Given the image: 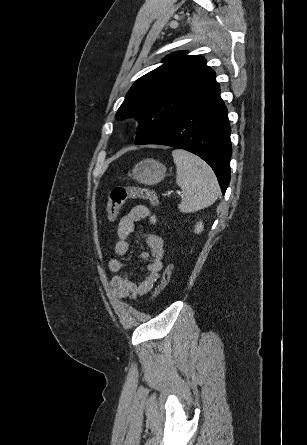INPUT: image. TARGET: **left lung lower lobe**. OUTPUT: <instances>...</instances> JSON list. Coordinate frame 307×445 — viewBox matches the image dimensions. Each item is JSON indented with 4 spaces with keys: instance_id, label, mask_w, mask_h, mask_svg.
Wrapping results in <instances>:
<instances>
[{
    "instance_id": "left-lung-lower-lobe-1",
    "label": "left lung lower lobe",
    "mask_w": 307,
    "mask_h": 445,
    "mask_svg": "<svg viewBox=\"0 0 307 445\" xmlns=\"http://www.w3.org/2000/svg\"><path fill=\"white\" fill-rule=\"evenodd\" d=\"M230 132L218 88L141 144L167 145L198 155L212 167L225 194L230 181Z\"/></svg>"
}]
</instances>
